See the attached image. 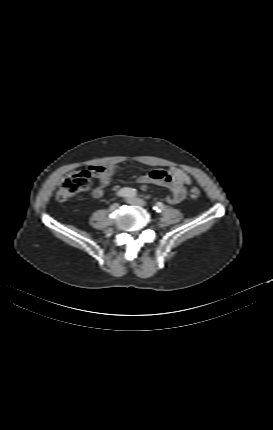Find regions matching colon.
<instances>
[{"label":"colon","mask_w":273,"mask_h":430,"mask_svg":"<svg viewBox=\"0 0 273 430\" xmlns=\"http://www.w3.org/2000/svg\"><path fill=\"white\" fill-rule=\"evenodd\" d=\"M91 174L88 170L77 171L69 174L59 187L56 198L58 201H67L75 197L80 192L86 190L90 185ZM191 198H198L200 190L193 187L189 191Z\"/></svg>","instance_id":"obj_1"}]
</instances>
